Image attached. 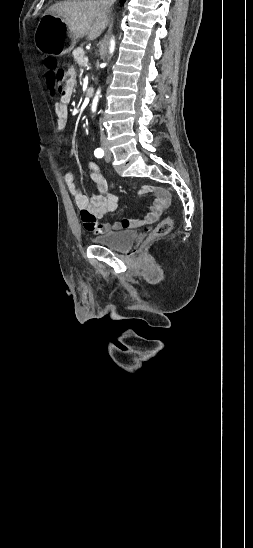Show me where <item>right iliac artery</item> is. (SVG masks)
Wrapping results in <instances>:
<instances>
[{
	"instance_id": "right-iliac-artery-1",
	"label": "right iliac artery",
	"mask_w": 253,
	"mask_h": 548,
	"mask_svg": "<svg viewBox=\"0 0 253 548\" xmlns=\"http://www.w3.org/2000/svg\"><path fill=\"white\" fill-rule=\"evenodd\" d=\"M94 155L97 157V158H102L104 156V150L101 149V148H97L95 151H94Z\"/></svg>"
}]
</instances>
